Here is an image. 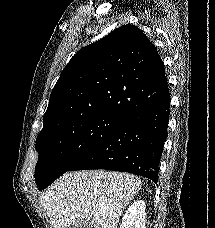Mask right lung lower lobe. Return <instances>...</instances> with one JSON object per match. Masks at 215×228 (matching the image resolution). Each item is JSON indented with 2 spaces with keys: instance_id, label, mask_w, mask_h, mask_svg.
<instances>
[{
  "instance_id": "right-lung-lower-lobe-1",
  "label": "right lung lower lobe",
  "mask_w": 215,
  "mask_h": 228,
  "mask_svg": "<svg viewBox=\"0 0 215 228\" xmlns=\"http://www.w3.org/2000/svg\"><path fill=\"white\" fill-rule=\"evenodd\" d=\"M167 86V79L165 81ZM170 94L124 118L68 171L105 169L130 172L158 182L167 138Z\"/></svg>"
}]
</instances>
